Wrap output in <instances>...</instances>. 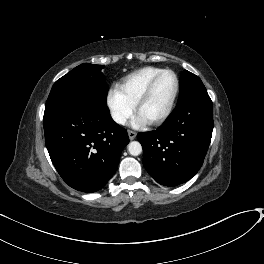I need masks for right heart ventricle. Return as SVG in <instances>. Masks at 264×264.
Listing matches in <instances>:
<instances>
[{"instance_id":"right-heart-ventricle-1","label":"right heart ventricle","mask_w":264,"mask_h":264,"mask_svg":"<svg viewBox=\"0 0 264 264\" xmlns=\"http://www.w3.org/2000/svg\"><path fill=\"white\" fill-rule=\"evenodd\" d=\"M162 70L157 67L138 69L123 78L119 89L130 102L135 104L150 80Z\"/></svg>"}]
</instances>
